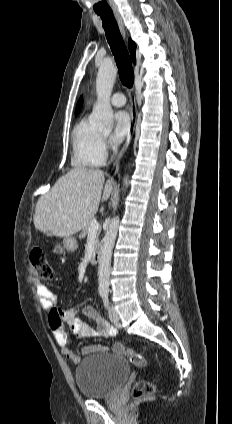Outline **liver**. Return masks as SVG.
I'll use <instances>...</instances> for the list:
<instances>
[{"instance_id": "liver-1", "label": "liver", "mask_w": 232, "mask_h": 424, "mask_svg": "<svg viewBox=\"0 0 232 424\" xmlns=\"http://www.w3.org/2000/svg\"><path fill=\"white\" fill-rule=\"evenodd\" d=\"M99 169L76 167L60 177L36 204L35 228L57 237H69L83 229L96 214L100 201H106L113 181L104 186ZM103 191V192H102Z\"/></svg>"}]
</instances>
